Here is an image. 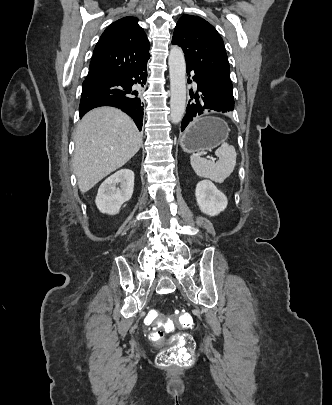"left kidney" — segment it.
I'll return each mask as SVG.
<instances>
[{
	"label": "left kidney",
	"instance_id": "obj_1",
	"mask_svg": "<svg viewBox=\"0 0 332 405\" xmlns=\"http://www.w3.org/2000/svg\"><path fill=\"white\" fill-rule=\"evenodd\" d=\"M197 204L206 215L216 216L227 207L226 196L210 181H201L196 185Z\"/></svg>",
	"mask_w": 332,
	"mask_h": 405
}]
</instances>
